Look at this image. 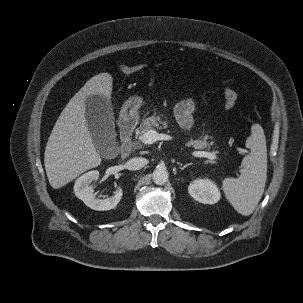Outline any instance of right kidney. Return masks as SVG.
Wrapping results in <instances>:
<instances>
[{
  "instance_id": "ca27d5eb",
  "label": "right kidney",
  "mask_w": 303,
  "mask_h": 303,
  "mask_svg": "<svg viewBox=\"0 0 303 303\" xmlns=\"http://www.w3.org/2000/svg\"><path fill=\"white\" fill-rule=\"evenodd\" d=\"M99 177L98 171H89L82 176H80L74 185L75 195L81 199L85 205L90 207L91 209L98 211H106L110 209H114L119 201L122 198L123 192L122 189L119 188L115 194L106 199H98L94 197L93 185H91L92 181H96Z\"/></svg>"
}]
</instances>
